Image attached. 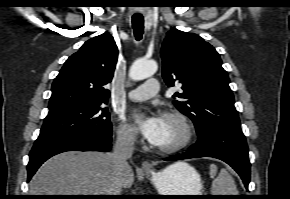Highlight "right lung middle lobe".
Instances as JSON below:
<instances>
[{
  "mask_svg": "<svg viewBox=\"0 0 290 199\" xmlns=\"http://www.w3.org/2000/svg\"><path fill=\"white\" fill-rule=\"evenodd\" d=\"M104 104H80L49 112L39 137L83 130H111L110 115Z\"/></svg>",
  "mask_w": 290,
  "mask_h": 199,
  "instance_id": "dd1d6c3e",
  "label": "right lung middle lobe"
}]
</instances>
